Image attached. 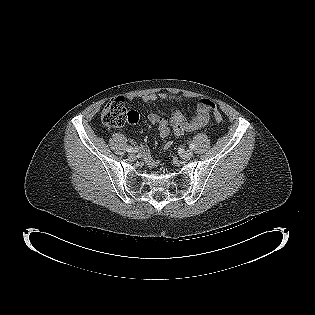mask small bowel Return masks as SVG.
<instances>
[{"instance_id": "small-bowel-1", "label": "small bowel", "mask_w": 315, "mask_h": 315, "mask_svg": "<svg viewBox=\"0 0 315 315\" xmlns=\"http://www.w3.org/2000/svg\"><path fill=\"white\" fill-rule=\"evenodd\" d=\"M127 99L131 100L133 97L128 96ZM143 102H154L157 100H171L179 101V97L168 94L166 92L150 93L141 96ZM209 109L201 102L198 103L194 115L190 119H186L181 111L174 110L170 120L161 117L157 113H149L148 120L157 126L159 135L163 138L173 135L180 137L186 132H191L204 127L209 120ZM169 143L165 144L164 148L169 147ZM145 161L148 167L152 168L158 163V159L151 155L144 154Z\"/></svg>"}]
</instances>
